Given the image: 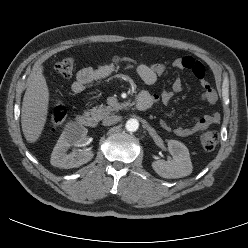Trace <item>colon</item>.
I'll return each instance as SVG.
<instances>
[{"label":"colon","mask_w":248,"mask_h":248,"mask_svg":"<svg viewBox=\"0 0 248 248\" xmlns=\"http://www.w3.org/2000/svg\"><path fill=\"white\" fill-rule=\"evenodd\" d=\"M113 61L117 64L123 65H137L138 62L130 57L124 56H114ZM55 73L64 78L71 77L75 70V60L71 57L64 58L60 60L54 67ZM67 117V108L61 104L57 103L54 105L52 112H51V125L54 128L59 127L63 124ZM219 140V134L217 131H206L200 137V142L202 147L207 150H213Z\"/></svg>","instance_id":"5ec220e1"}]
</instances>
